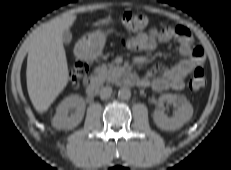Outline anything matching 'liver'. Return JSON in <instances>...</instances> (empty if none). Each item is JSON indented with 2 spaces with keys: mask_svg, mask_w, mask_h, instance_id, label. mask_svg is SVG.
I'll list each match as a JSON object with an SVG mask.
<instances>
[{
  "mask_svg": "<svg viewBox=\"0 0 231 170\" xmlns=\"http://www.w3.org/2000/svg\"><path fill=\"white\" fill-rule=\"evenodd\" d=\"M76 20L68 15L51 20L37 32L27 58V90L36 111L48 110L68 84V64L62 36Z\"/></svg>",
  "mask_w": 231,
  "mask_h": 170,
  "instance_id": "obj_1",
  "label": "liver"
}]
</instances>
